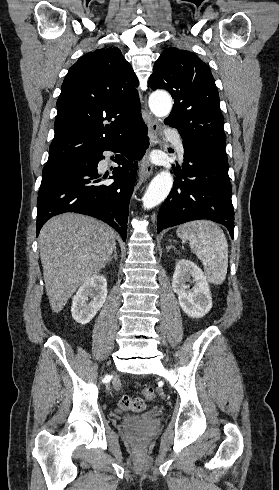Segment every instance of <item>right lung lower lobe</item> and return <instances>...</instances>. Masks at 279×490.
<instances>
[{
	"label": "right lung lower lobe",
	"mask_w": 279,
	"mask_h": 490,
	"mask_svg": "<svg viewBox=\"0 0 279 490\" xmlns=\"http://www.w3.org/2000/svg\"><path fill=\"white\" fill-rule=\"evenodd\" d=\"M146 125L136 126L121 137L108 142L98 152L82 159L84 167L68 171L48 181L41 182L37 199V236L51 217L75 212L93 216L115 228L123 240L127 236L129 201L136 178V162L149 145ZM103 151L120 153L115 162L112 183L97 172L98 162L104 159Z\"/></svg>",
	"instance_id": "right-lung-lower-lobe-1"
}]
</instances>
